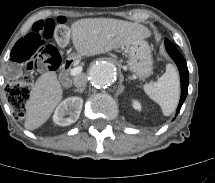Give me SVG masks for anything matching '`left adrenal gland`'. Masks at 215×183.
I'll list each match as a JSON object with an SVG mask.
<instances>
[{
    "mask_svg": "<svg viewBox=\"0 0 215 183\" xmlns=\"http://www.w3.org/2000/svg\"><path fill=\"white\" fill-rule=\"evenodd\" d=\"M128 78H129V79H132V77H131V76H129Z\"/></svg>",
    "mask_w": 215,
    "mask_h": 183,
    "instance_id": "obj_1",
    "label": "left adrenal gland"
}]
</instances>
